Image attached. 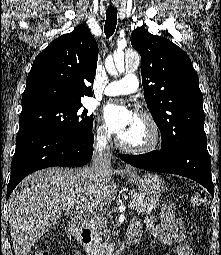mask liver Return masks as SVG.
<instances>
[{
  "label": "liver",
  "instance_id": "obj_1",
  "mask_svg": "<svg viewBox=\"0 0 221 255\" xmlns=\"http://www.w3.org/2000/svg\"><path fill=\"white\" fill-rule=\"evenodd\" d=\"M109 168H47L27 176L8 200L9 225L15 255H29L31 247L60 219L66 207L102 208L115 199L117 186Z\"/></svg>",
  "mask_w": 221,
  "mask_h": 255
}]
</instances>
